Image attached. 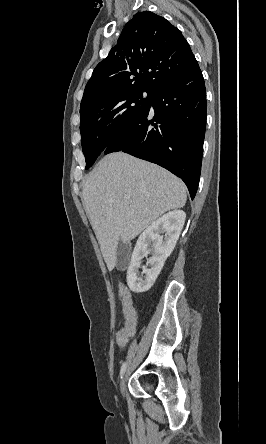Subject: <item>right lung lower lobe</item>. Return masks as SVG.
Wrapping results in <instances>:
<instances>
[{"label": "right lung lower lobe", "instance_id": "98d812e1", "mask_svg": "<svg viewBox=\"0 0 266 444\" xmlns=\"http://www.w3.org/2000/svg\"><path fill=\"white\" fill-rule=\"evenodd\" d=\"M206 90L199 65L187 76L151 92L148 110L103 151H123L180 177L195 197L206 129Z\"/></svg>", "mask_w": 266, "mask_h": 444}]
</instances>
